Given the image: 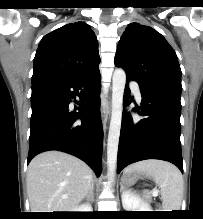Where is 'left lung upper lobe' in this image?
<instances>
[{
  "instance_id": "1",
  "label": "left lung upper lobe",
  "mask_w": 203,
  "mask_h": 219,
  "mask_svg": "<svg viewBox=\"0 0 203 219\" xmlns=\"http://www.w3.org/2000/svg\"><path fill=\"white\" fill-rule=\"evenodd\" d=\"M115 65L126 76L146 87L164 88L181 93V69L177 55L156 30L131 23L122 35Z\"/></svg>"
}]
</instances>
